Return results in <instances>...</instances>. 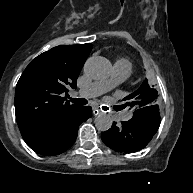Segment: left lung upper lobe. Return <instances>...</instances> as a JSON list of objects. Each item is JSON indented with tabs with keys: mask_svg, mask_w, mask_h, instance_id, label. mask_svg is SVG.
Returning <instances> with one entry per match:
<instances>
[{
	"mask_svg": "<svg viewBox=\"0 0 193 193\" xmlns=\"http://www.w3.org/2000/svg\"><path fill=\"white\" fill-rule=\"evenodd\" d=\"M157 99V91L148 84L146 79L138 90L123 100L126 101L125 106L130 105L131 108L138 110L143 107L157 105Z\"/></svg>",
	"mask_w": 193,
	"mask_h": 193,
	"instance_id": "1",
	"label": "left lung upper lobe"
}]
</instances>
